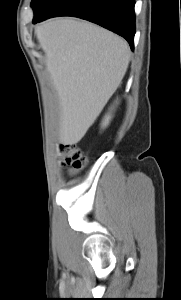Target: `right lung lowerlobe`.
I'll return each mask as SVG.
<instances>
[{
    "label": "right lung lower lobe",
    "mask_w": 181,
    "mask_h": 300,
    "mask_svg": "<svg viewBox=\"0 0 181 300\" xmlns=\"http://www.w3.org/2000/svg\"><path fill=\"white\" fill-rule=\"evenodd\" d=\"M134 0H58L33 23L56 16L79 17L105 27L122 37L133 50L135 34Z\"/></svg>",
    "instance_id": "1"
}]
</instances>
